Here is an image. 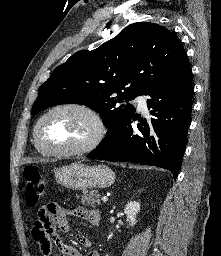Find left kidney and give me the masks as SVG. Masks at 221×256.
Returning a JSON list of instances; mask_svg holds the SVG:
<instances>
[{
  "instance_id": "left-kidney-1",
  "label": "left kidney",
  "mask_w": 221,
  "mask_h": 256,
  "mask_svg": "<svg viewBox=\"0 0 221 256\" xmlns=\"http://www.w3.org/2000/svg\"><path fill=\"white\" fill-rule=\"evenodd\" d=\"M140 211V204L136 201H130L125 209L124 213L127 216V222L129 226L133 227L136 224V215Z\"/></svg>"
}]
</instances>
